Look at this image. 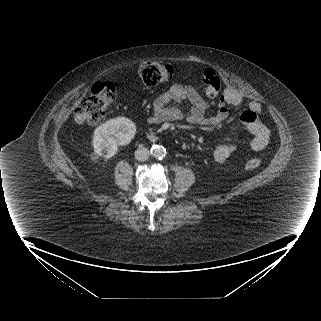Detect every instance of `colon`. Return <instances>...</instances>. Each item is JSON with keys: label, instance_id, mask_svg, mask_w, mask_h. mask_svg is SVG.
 <instances>
[{"label": "colon", "instance_id": "colon-1", "mask_svg": "<svg viewBox=\"0 0 321 321\" xmlns=\"http://www.w3.org/2000/svg\"><path fill=\"white\" fill-rule=\"evenodd\" d=\"M138 74L147 86H155L166 82L173 77L174 68L165 62L145 63L138 69ZM201 79L205 85V93L209 97H217L221 92V81L217 72L212 68H206L201 73ZM116 89L111 82H97L91 88L89 94L81 100L75 109L74 119L78 124H96L101 122L115 99ZM261 164L257 157L246 160L245 168L255 170Z\"/></svg>", "mask_w": 321, "mask_h": 321}]
</instances>
